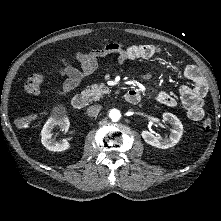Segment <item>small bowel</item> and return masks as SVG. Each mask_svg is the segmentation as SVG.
I'll return each instance as SVG.
<instances>
[{
  "instance_id": "1",
  "label": "small bowel",
  "mask_w": 221,
  "mask_h": 221,
  "mask_svg": "<svg viewBox=\"0 0 221 221\" xmlns=\"http://www.w3.org/2000/svg\"><path fill=\"white\" fill-rule=\"evenodd\" d=\"M161 53V49L150 44L124 45L120 42H112L99 49L89 52H78L76 60L79 67H75L68 61H62L58 72L65 77L61 89L57 91L59 95H67L83 82L88 76L93 74L98 67L99 59L110 54H116L119 62H127L138 59H150ZM184 76L191 82L183 85L179 89L180 100L185 108L188 117L193 121H199L204 117V97L207 94L208 85L200 70L194 65H187L183 69ZM141 94L138 90H135ZM155 99L160 104L167 107L177 105L175 97L164 91H159Z\"/></svg>"
}]
</instances>
